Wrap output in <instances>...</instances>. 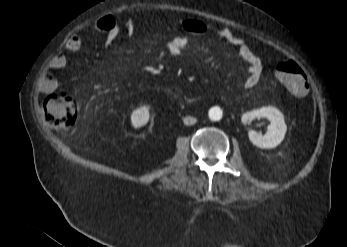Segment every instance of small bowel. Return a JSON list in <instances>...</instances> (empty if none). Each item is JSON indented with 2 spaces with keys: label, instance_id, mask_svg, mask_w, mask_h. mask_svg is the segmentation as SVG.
Returning a JSON list of instances; mask_svg holds the SVG:
<instances>
[{
  "label": "small bowel",
  "instance_id": "1",
  "mask_svg": "<svg viewBox=\"0 0 347 247\" xmlns=\"http://www.w3.org/2000/svg\"><path fill=\"white\" fill-rule=\"evenodd\" d=\"M183 28V33L169 40L167 52L172 57L179 56L194 39H204L216 36L224 40L229 46L235 48L240 60L248 65V76L244 80V88H253L259 81L262 70L261 58L250 48L238 31L227 27L211 26L198 19H182L178 21ZM94 28L104 32L105 44L114 40L124 29L127 36H131L136 25L133 21H127L122 27L112 16H105L94 23ZM82 47V39L78 35H72L66 41L64 50L69 53H77ZM67 64V58L63 54L54 56L48 63L45 72L38 79V88L42 93L52 94L58 87L56 72L62 70Z\"/></svg>",
  "mask_w": 347,
  "mask_h": 247
}]
</instances>
